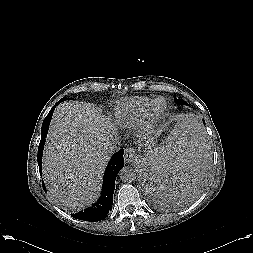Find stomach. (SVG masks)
Listing matches in <instances>:
<instances>
[{"label": "stomach", "instance_id": "0dacf381", "mask_svg": "<svg viewBox=\"0 0 253 253\" xmlns=\"http://www.w3.org/2000/svg\"><path fill=\"white\" fill-rule=\"evenodd\" d=\"M154 153H155V151L148 152L144 158H141L137 162V168H138L140 180H143L144 173H145L148 165L154 161Z\"/></svg>", "mask_w": 253, "mask_h": 253}]
</instances>
